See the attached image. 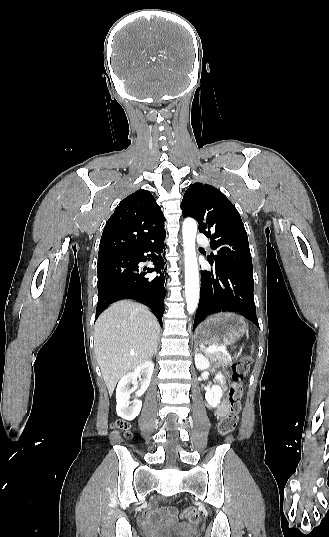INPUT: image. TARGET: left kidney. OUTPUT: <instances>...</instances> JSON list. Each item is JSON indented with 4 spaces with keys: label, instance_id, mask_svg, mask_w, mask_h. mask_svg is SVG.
Returning <instances> with one entry per match:
<instances>
[{
    "label": "left kidney",
    "instance_id": "5707ae66",
    "mask_svg": "<svg viewBox=\"0 0 329 537\" xmlns=\"http://www.w3.org/2000/svg\"><path fill=\"white\" fill-rule=\"evenodd\" d=\"M194 360H195L196 368L199 370L207 369L210 366L209 360L206 357H204L202 354L196 353L194 356ZM223 378L224 377L221 373H218L215 376V379L217 382L223 383L224 382ZM222 395H223V391L221 387L216 384L206 391L205 399L211 407H217V405L220 403Z\"/></svg>",
    "mask_w": 329,
    "mask_h": 537
}]
</instances>
